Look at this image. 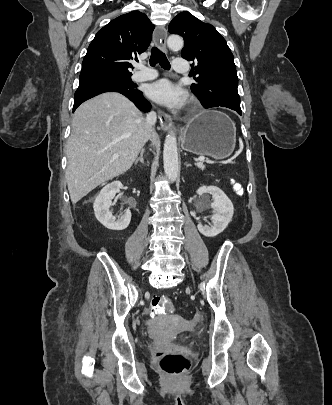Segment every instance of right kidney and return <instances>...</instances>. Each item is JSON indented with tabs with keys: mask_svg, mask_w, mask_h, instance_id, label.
<instances>
[{
	"mask_svg": "<svg viewBox=\"0 0 332 405\" xmlns=\"http://www.w3.org/2000/svg\"><path fill=\"white\" fill-rule=\"evenodd\" d=\"M122 187L123 184L120 181L107 184L95 198L93 204L96 219L110 230L122 231L129 226L131 221V211L129 209L118 219L110 211L111 200Z\"/></svg>",
	"mask_w": 332,
	"mask_h": 405,
	"instance_id": "obj_1",
	"label": "right kidney"
}]
</instances>
